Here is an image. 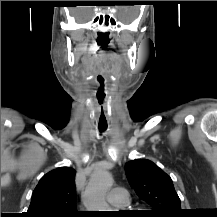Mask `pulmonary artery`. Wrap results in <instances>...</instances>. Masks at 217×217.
Segmentation results:
<instances>
[{
	"label": "pulmonary artery",
	"mask_w": 217,
	"mask_h": 217,
	"mask_svg": "<svg viewBox=\"0 0 217 217\" xmlns=\"http://www.w3.org/2000/svg\"><path fill=\"white\" fill-rule=\"evenodd\" d=\"M107 201L117 208H123L129 204L128 192L125 188H113L106 197Z\"/></svg>",
	"instance_id": "1"
}]
</instances>
